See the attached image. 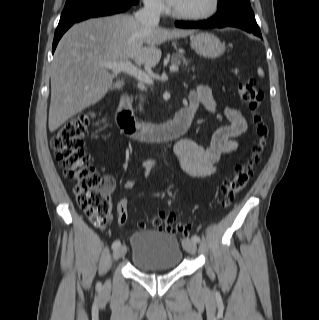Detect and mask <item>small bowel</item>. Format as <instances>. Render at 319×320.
I'll use <instances>...</instances> for the list:
<instances>
[{
    "mask_svg": "<svg viewBox=\"0 0 319 320\" xmlns=\"http://www.w3.org/2000/svg\"><path fill=\"white\" fill-rule=\"evenodd\" d=\"M199 105L208 111H215V101L209 87L200 85L192 93L189 108L195 112ZM229 124L219 127L212 135L211 143L204 148L189 139L180 140L174 148V153L180 167L187 174L205 178L213 175L219 163L238 146L237 139L246 132L247 121L242 113L233 107H227L224 111ZM155 165L153 161L143 164L144 171ZM137 185V180L129 179L123 184L124 189L131 190ZM118 214L127 213V201L121 200L117 205Z\"/></svg>",
    "mask_w": 319,
    "mask_h": 320,
    "instance_id": "1",
    "label": "small bowel"
}]
</instances>
